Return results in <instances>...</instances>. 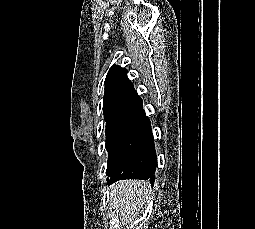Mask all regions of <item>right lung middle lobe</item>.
<instances>
[{
  "label": "right lung middle lobe",
  "instance_id": "obj_1",
  "mask_svg": "<svg viewBox=\"0 0 255 229\" xmlns=\"http://www.w3.org/2000/svg\"><path fill=\"white\" fill-rule=\"evenodd\" d=\"M107 175L126 173L134 166L146 168L154 153L151 130L123 115L106 124Z\"/></svg>",
  "mask_w": 255,
  "mask_h": 229
}]
</instances>
